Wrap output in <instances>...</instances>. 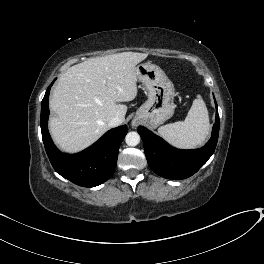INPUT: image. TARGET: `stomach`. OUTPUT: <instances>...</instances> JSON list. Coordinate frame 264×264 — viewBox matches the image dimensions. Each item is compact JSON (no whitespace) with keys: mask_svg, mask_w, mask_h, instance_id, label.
<instances>
[{"mask_svg":"<svg viewBox=\"0 0 264 264\" xmlns=\"http://www.w3.org/2000/svg\"><path fill=\"white\" fill-rule=\"evenodd\" d=\"M136 78L146 87L148 99L136 111L134 121L156 128L174 114V85L165 72L152 63L139 64Z\"/></svg>","mask_w":264,"mask_h":264,"instance_id":"1","label":"stomach"}]
</instances>
